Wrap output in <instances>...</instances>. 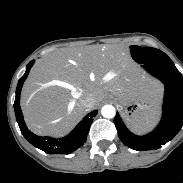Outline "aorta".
<instances>
[{
    "mask_svg": "<svg viewBox=\"0 0 183 183\" xmlns=\"http://www.w3.org/2000/svg\"><path fill=\"white\" fill-rule=\"evenodd\" d=\"M101 114L105 118H113V117H115L116 111H115L114 106L105 105L101 109Z\"/></svg>",
    "mask_w": 183,
    "mask_h": 183,
    "instance_id": "obj_1",
    "label": "aorta"
}]
</instances>
